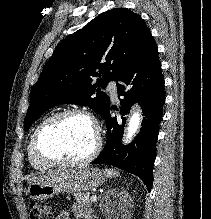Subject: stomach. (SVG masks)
<instances>
[{
	"label": "stomach",
	"mask_w": 211,
	"mask_h": 219,
	"mask_svg": "<svg viewBox=\"0 0 211 219\" xmlns=\"http://www.w3.org/2000/svg\"><path fill=\"white\" fill-rule=\"evenodd\" d=\"M106 179V175L96 168H80L65 180L54 183H31L28 187V194L33 200H43L51 198L55 194L65 192H86L101 186Z\"/></svg>",
	"instance_id": "0dacf381"
}]
</instances>
